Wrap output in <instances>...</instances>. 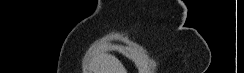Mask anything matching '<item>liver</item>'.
I'll use <instances>...</instances> for the list:
<instances>
[{
	"label": "liver",
	"instance_id": "liver-1",
	"mask_svg": "<svg viewBox=\"0 0 244 73\" xmlns=\"http://www.w3.org/2000/svg\"><path fill=\"white\" fill-rule=\"evenodd\" d=\"M95 62L97 73H126L124 66L115 56L103 54Z\"/></svg>",
	"mask_w": 244,
	"mask_h": 73
}]
</instances>
